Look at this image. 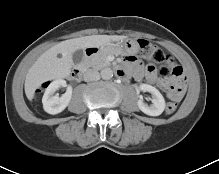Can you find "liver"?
Returning <instances> with one entry per match:
<instances>
[{"label":"liver","instance_id":"liver-1","mask_svg":"<svg viewBox=\"0 0 219 174\" xmlns=\"http://www.w3.org/2000/svg\"><path fill=\"white\" fill-rule=\"evenodd\" d=\"M126 38L123 35H91L56 44L45 51L28 70L24 85L26 97L31 101L36 89L44 82L68 77L73 66L75 51L85 48H100L110 42Z\"/></svg>","mask_w":219,"mask_h":174}]
</instances>
